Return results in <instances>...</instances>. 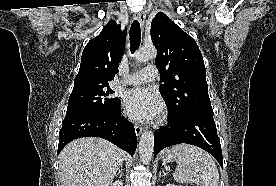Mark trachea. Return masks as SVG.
Returning a JSON list of instances; mask_svg holds the SVG:
<instances>
[{"label":"trachea","instance_id":"obj_1","mask_svg":"<svg viewBox=\"0 0 276 186\" xmlns=\"http://www.w3.org/2000/svg\"><path fill=\"white\" fill-rule=\"evenodd\" d=\"M141 42V28L140 23L134 20L130 28V50L134 53L140 46Z\"/></svg>","mask_w":276,"mask_h":186}]
</instances>
